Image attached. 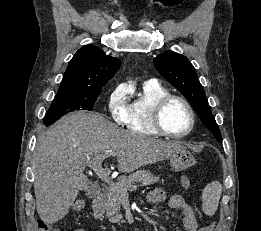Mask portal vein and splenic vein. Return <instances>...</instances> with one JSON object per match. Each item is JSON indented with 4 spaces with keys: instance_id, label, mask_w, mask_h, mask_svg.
<instances>
[{
    "instance_id": "portal-vein-and-splenic-vein-1",
    "label": "portal vein and splenic vein",
    "mask_w": 261,
    "mask_h": 231,
    "mask_svg": "<svg viewBox=\"0 0 261 231\" xmlns=\"http://www.w3.org/2000/svg\"><path fill=\"white\" fill-rule=\"evenodd\" d=\"M115 154V151H105L99 155H96L93 159H88V166L92 167L93 170L96 172L98 177L104 181L105 183L109 184L110 186H116L117 183H114L110 177L109 174L102 168L101 163L109 156ZM137 189V186L132 187L128 190H135Z\"/></svg>"
}]
</instances>
